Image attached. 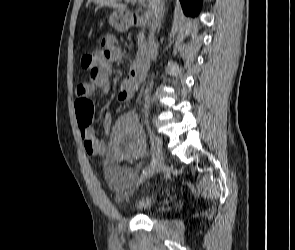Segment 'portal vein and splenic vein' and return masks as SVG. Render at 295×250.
I'll use <instances>...</instances> for the list:
<instances>
[{"label":"portal vein and splenic vein","mask_w":295,"mask_h":250,"mask_svg":"<svg viewBox=\"0 0 295 250\" xmlns=\"http://www.w3.org/2000/svg\"><path fill=\"white\" fill-rule=\"evenodd\" d=\"M126 2H132V3H139V4H143L144 3V0H125ZM151 14V11L150 9H147L146 12H145V15L146 16H149Z\"/></svg>","instance_id":"1"}]
</instances>
